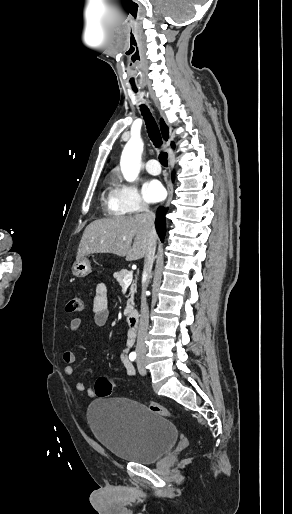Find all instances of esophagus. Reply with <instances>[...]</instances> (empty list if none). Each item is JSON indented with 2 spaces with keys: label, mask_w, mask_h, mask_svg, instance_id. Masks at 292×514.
<instances>
[{
  "label": "esophagus",
  "mask_w": 292,
  "mask_h": 514,
  "mask_svg": "<svg viewBox=\"0 0 292 514\" xmlns=\"http://www.w3.org/2000/svg\"><path fill=\"white\" fill-rule=\"evenodd\" d=\"M167 190H168V198H167V201H166V206L169 205L171 199H172V195H173V190H172V184L170 181H168L167 183Z\"/></svg>",
  "instance_id": "obj_1"
}]
</instances>
